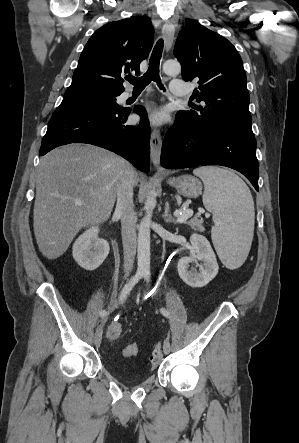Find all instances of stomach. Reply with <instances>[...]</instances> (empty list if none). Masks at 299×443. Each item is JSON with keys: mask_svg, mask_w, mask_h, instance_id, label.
I'll list each match as a JSON object with an SVG mask.
<instances>
[{"mask_svg": "<svg viewBox=\"0 0 299 443\" xmlns=\"http://www.w3.org/2000/svg\"><path fill=\"white\" fill-rule=\"evenodd\" d=\"M167 183L176 188L179 194L188 198H196L202 192L201 182L197 178L190 175L169 178Z\"/></svg>", "mask_w": 299, "mask_h": 443, "instance_id": "1", "label": "stomach"}]
</instances>
